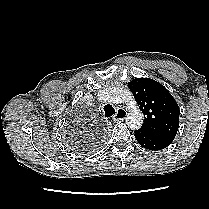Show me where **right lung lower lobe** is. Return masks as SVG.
<instances>
[{"mask_svg":"<svg viewBox=\"0 0 209 209\" xmlns=\"http://www.w3.org/2000/svg\"><path fill=\"white\" fill-rule=\"evenodd\" d=\"M99 145V141L92 140L91 142H80L76 145V150L79 152H88L89 150H94Z\"/></svg>","mask_w":209,"mask_h":209,"instance_id":"1","label":"right lung lower lobe"}]
</instances>
